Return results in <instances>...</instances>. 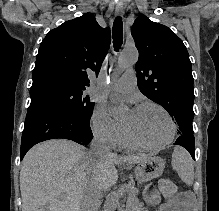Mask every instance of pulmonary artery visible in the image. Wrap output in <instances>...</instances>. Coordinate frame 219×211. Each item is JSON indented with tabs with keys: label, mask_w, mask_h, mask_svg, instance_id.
Listing matches in <instances>:
<instances>
[{
	"label": "pulmonary artery",
	"mask_w": 219,
	"mask_h": 211,
	"mask_svg": "<svg viewBox=\"0 0 219 211\" xmlns=\"http://www.w3.org/2000/svg\"><path fill=\"white\" fill-rule=\"evenodd\" d=\"M136 84L135 73L128 70L110 86L109 90L118 93H129L136 88Z\"/></svg>",
	"instance_id": "obj_1"
}]
</instances>
